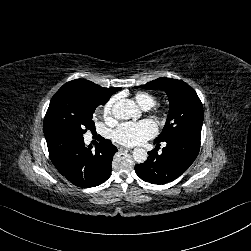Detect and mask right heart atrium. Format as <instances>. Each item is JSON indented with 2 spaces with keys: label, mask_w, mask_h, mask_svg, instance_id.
<instances>
[{
  "label": "right heart atrium",
  "mask_w": 251,
  "mask_h": 251,
  "mask_svg": "<svg viewBox=\"0 0 251 251\" xmlns=\"http://www.w3.org/2000/svg\"><path fill=\"white\" fill-rule=\"evenodd\" d=\"M116 102L117 98L111 97L99 109L101 116L108 123L114 122L113 110Z\"/></svg>",
  "instance_id": "right-heart-atrium-1"
}]
</instances>
